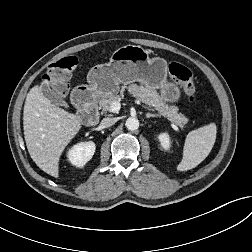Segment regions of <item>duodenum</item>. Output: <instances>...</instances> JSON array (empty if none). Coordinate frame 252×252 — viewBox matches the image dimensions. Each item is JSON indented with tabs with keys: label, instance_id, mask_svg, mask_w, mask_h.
<instances>
[{
	"label": "duodenum",
	"instance_id": "410a0bca",
	"mask_svg": "<svg viewBox=\"0 0 252 252\" xmlns=\"http://www.w3.org/2000/svg\"><path fill=\"white\" fill-rule=\"evenodd\" d=\"M72 99L75 103L88 102V104L83 108L82 117L86 123L90 125H96L100 120V115L98 111V106L92 98V92L87 87L76 90Z\"/></svg>",
	"mask_w": 252,
	"mask_h": 252
}]
</instances>
